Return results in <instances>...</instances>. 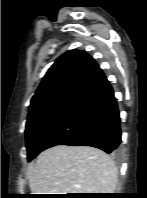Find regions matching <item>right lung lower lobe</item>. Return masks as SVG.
Returning a JSON list of instances; mask_svg holds the SVG:
<instances>
[{
	"label": "right lung lower lobe",
	"instance_id": "right-lung-lower-lobe-1",
	"mask_svg": "<svg viewBox=\"0 0 147 198\" xmlns=\"http://www.w3.org/2000/svg\"><path fill=\"white\" fill-rule=\"evenodd\" d=\"M121 143L119 110L107 79L79 99L37 148L92 146L106 153H117Z\"/></svg>",
	"mask_w": 147,
	"mask_h": 198
}]
</instances>
